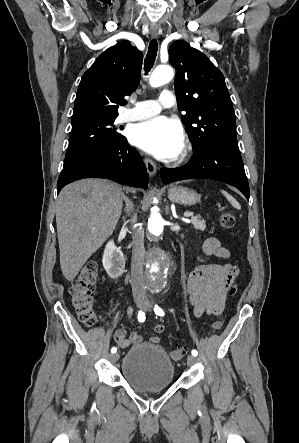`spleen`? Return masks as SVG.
<instances>
[{
	"label": "spleen",
	"instance_id": "1",
	"mask_svg": "<svg viewBox=\"0 0 299 443\" xmlns=\"http://www.w3.org/2000/svg\"><path fill=\"white\" fill-rule=\"evenodd\" d=\"M221 192L234 208H236L238 210L241 209V205L239 204V202H237V200L235 198H233L230 194H228L224 190H222Z\"/></svg>",
	"mask_w": 299,
	"mask_h": 443
}]
</instances>
